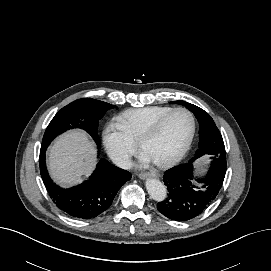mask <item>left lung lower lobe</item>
Instances as JSON below:
<instances>
[{
  "label": "left lung lower lobe",
  "instance_id": "obj_1",
  "mask_svg": "<svg viewBox=\"0 0 271 271\" xmlns=\"http://www.w3.org/2000/svg\"><path fill=\"white\" fill-rule=\"evenodd\" d=\"M192 173L193 164L188 162L167 170L163 176L169 194L157 209L171 220L187 221L203 213L219 194L226 171L210 168L204 178L195 179L204 184L199 189L191 181Z\"/></svg>",
  "mask_w": 271,
  "mask_h": 271
}]
</instances>
